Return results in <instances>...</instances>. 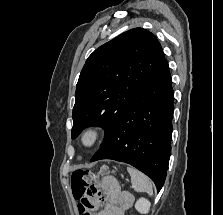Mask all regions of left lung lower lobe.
Segmentation results:
<instances>
[{
    "label": "left lung lower lobe",
    "instance_id": "0a47b994",
    "mask_svg": "<svg viewBox=\"0 0 223 215\" xmlns=\"http://www.w3.org/2000/svg\"><path fill=\"white\" fill-rule=\"evenodd\" d=\"M173 100L171 75L165 60L90 162L112 159L128 163L149 176L159 192L171 153Z\"/></svg>",
    "mask_w": 223,
    "mask_h": 215
}]
</instances>
